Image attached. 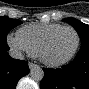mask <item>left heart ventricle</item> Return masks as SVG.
<instances>
[{
	"label": "left heart ventricle",
	"instance_id": "left-heart-ventricle-1",
	"mask_svg": "<svg viewBox=\"0 0 89 89\" xmlns=\"http://www.w3.org/2000/svg\"><path fill=\"white\" fill-rule=\"evenodd\" d=\"M75 44V33L70 29L63 30L52 39L45 51V56L50 60L63 59L72 52Z\"/></svg>",
	"mask_w": 89,
	"mask_h": 89
}]
</instances>
